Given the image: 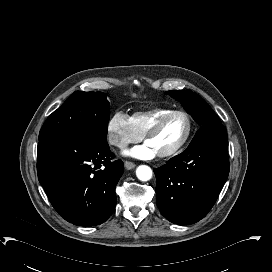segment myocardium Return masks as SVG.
<instances>
[{"instance_id": "obj_1", "label": "myocardium", "mask_w": 272, "mask_h": 272, "mask_svg": "<svg viewBox=\"0 0 272 272\" xmlns=\"http://www.w3.org/2000/svg\"><path fill=\"white\" fill-rule=\"evenodd\" d=\"M176 116H181L184 118L186 125H187V129H186V133L185 136L183 137L182 141L173 149L167 152H162V153H157V156L160 158H169V157H174L177 154H179L181 152V150L185 147V145L188 143L191 134H192V130H193V125H192V121L189 117V115L187 113H185L184 111H180V110H175V111H171L169 113H166L164 115H162L161 117H159V119L153 123L146 131L145 133V137L148 140L152 135H154L156 132H158L160 130V128L171 118L176 117Z\"/></svg>"}]
</instances>
